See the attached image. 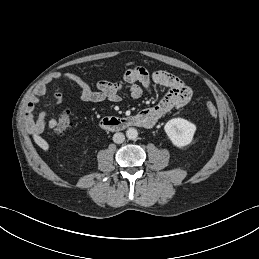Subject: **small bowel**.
Here are the masks:
<instances>
[{"label": "small bowel", "mask_w": 259, "mask_h": 259, "mask_svg": "<svg viewBox=\"0 0 259 259\" xmlns=\"http://www.w3.org/2000/svg\"><path fill=\"white\" fill-rule=\"evenodd\" d=\"M53 79L77 83L81 87V99L86 102H102L104 100L119 102L124 90L133 99H137L141 97L144 90L150 91L154 87L167 88L168 91L156 106L139 112L149 121V127L170 111L184 107L191 100L193 94L191 87L178 76L163 70L149 72L144 67L126 69L119 82L100 81L96 90H93L81 77L72 72H56ZM46 92L45 84L38 86L27 103L25 120L30 131L34 134H40L45 129L52 130L57 123L55 117L47 112H41L37 117L34 116L40 97L44 96ZM54 100L56 103L60 102L59 93H54Z\"/></svg>", "instance_id": "obj_1"}]
</instances>
